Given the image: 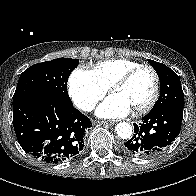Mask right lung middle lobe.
<instances>
[{
  "instance_id": "obj_1",
  "label": "right lung middle lobe",
  "mask_w": 196,
  "mask_h": 196,
  "mask_svg": "<svg viewBox=\"0 0 196 196\" xmlns=\"http://www.w3.org/2000/svg\"><path fill=\"white\" fill-rule=\"evenodd\" d=\"M78 59L57 58L34 64L20 76L13 102L35 94H53L72 103L67 92V81L78 66Z\"/></svg>"
}]
</instances>
